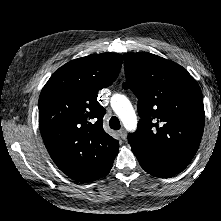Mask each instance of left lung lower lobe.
<instances>
[{"label": "left lung lower lobe", "instance_id": "left-lung-lower-lobe-1", "mask_svg": "<svg viewBox=\"0 0 221 221\" xmlns=\"http://www.w3.org/2000/svg\"><path fill=\"white\" fill-rule=\"evenodd\" d=\"M142 168L153 176L163 178L174 176L184 170L188 164L151 152L132 148Z\"/></svg>", "mask_w": 221, "mask_h": 221}]
</instances>
